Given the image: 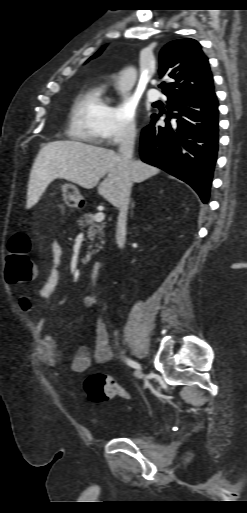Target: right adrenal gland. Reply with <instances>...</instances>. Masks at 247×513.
<instances>
[{"label":"right adrenal gland","mask_w":247,"mask_h":513,"mask_svg":"<svg viewBox=\"0 0 247 513\" xmlns=\"http://www.w3.org/2000/svg\"><path fill=\"white\" fill-rule=\"evenodd\" d=\"M134 205H135V202H132L131 207L133 208V207H134Z\"/></svg>","instance_id":"1"}]
</instances>
